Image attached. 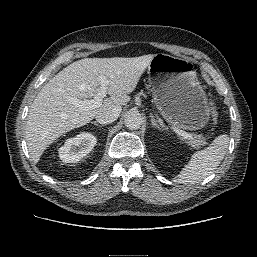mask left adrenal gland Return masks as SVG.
I'll use <instances>...</instances> for the list:
<instances>
[{"mask_svg": "<svg viewBox=\"0 0 257 257\" xmlns=\"http://www.w3.org/2000/svg\"><path fill=\"white\" fill-rule=\"evenodd\" d=\"M151 123L154 128H158L159 130H163L162 127L158 124V122L155 120V117L152 113H150Z\"/></svg>", "mask_w": 257, "mask_h": 257, "instance_id": "left-adrenal-gland-1", "label": "left adrenal gland"}]
</instances>
